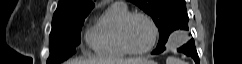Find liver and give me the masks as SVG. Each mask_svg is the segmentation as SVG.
Returning <instances> with one entry per match:
<instances>
[{"instance_id": "6515ba94", "label": "liver", "mask_w": 242, "mask_h": 64, "mask_svg": "<svg viewBox=\"0 0 242 64\" xmlns=\"http://www.w3.org/2000/svg\"><path fill=\"white\" fill-rule=\"evenodd\" d=\"M148 62V59L133 58V59H72L66 64H142Z\"/></svg>"}]
</instances>
